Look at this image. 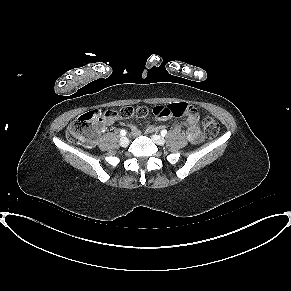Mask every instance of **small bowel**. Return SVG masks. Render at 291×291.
<instances>
[{
	"label": "small bowel",
	"mask_w": 291,
	"mask_h": 291,
	"mask_svg": "<svg viewBox=\"0 0 291 291\" xmlns=\"http://www.w3.org/2000/svg\"><path fill=\"white\" fill-rule=\"evenodd\" d=\"M165 119L166 118H159L160 124L148 126L147 131H157L160 127L163 126ZM184 124L186 125L185 137L187 141L191 144L200 143V141L202 140V134L199 126V115L197 114L196 110L187 114ZM130 129L135 136H139L141 134L140 129L134 124L130 125Z\"/></svg>",
	"instance_id": "1"
}]
</instances>
